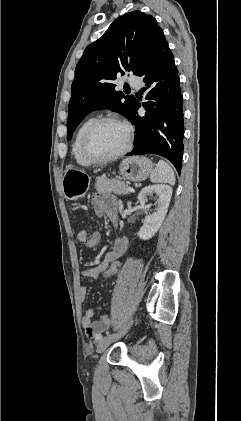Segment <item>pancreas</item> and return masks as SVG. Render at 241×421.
Returning a JSON list of instances; mask_svg holds the SVG:
<instances>
[{"mask_svg":"<svg viewBox=\"0 0 241 421\" xmlns=\"http://www.w3.org/2000/svg\"><path fill=\"white\" fill-rule=\"evenodd\" d=\"M95 188L98 193L109 194L111 192L117 195H127L130 193L128 185L119 179H109L99 177L96 179Z\"/></svg>","mask_w":241,"mask_h":421,"instance_id":"cf45deb5","label":"pancreas"}]
</instances>
